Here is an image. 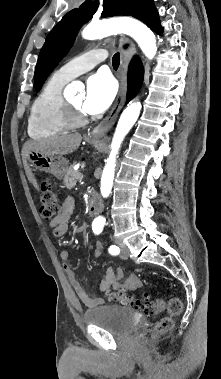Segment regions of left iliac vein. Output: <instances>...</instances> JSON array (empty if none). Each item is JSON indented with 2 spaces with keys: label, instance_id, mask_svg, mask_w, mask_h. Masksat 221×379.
Returning a JSON list of instances; mask_svg holds the SVG:
<instances>
[{
  "label": "left iliac vein",
  "instance_id": "4c4485c4",
  "mask_svg": "<svg viewBox=\"0 0 221 379\" xmlns=\"http://www.w3.org/2000/svg\"><path fill=\"white\" fill-rule=\"evenodd\" d=\"M120 249H121V258L122 259H128L129 257V249L124 243H120Z\"/></svg>",
  "mask_w": 221,
  "mask_h": 379
}]
</instances>
